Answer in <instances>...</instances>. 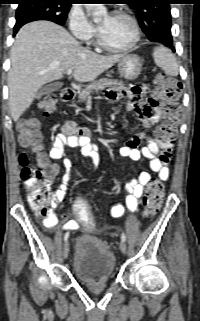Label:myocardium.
<instances>
[{"instance_id":"1","label":"myocardium","mask_w":200,"mask_h":321,"mask_svg":"<svg viewBox=\"0 0 200 321\" xmlns=\"http://www.w3.org/2000/svg\"><path fill=\"white\" fill-rule=\"evenodd\" d=\"M113 15L126 18L127 20H129L131 22V24L133 26V30H134V36H133L132 41L126 46L114 47V46H111L110 44H108L105 41V39L103 38L101 32L99 31L98 35H97L98 44L103 49H105V50H107L109 52L122 53V52L130 51L131 49H133L137 45V43L139 42L140 37H141V31H140L139 23H138L137 19L133 15H131L130 13H128L126 11H123V10L115 11L113 13Z\"/></svg>"}]
</instances>
